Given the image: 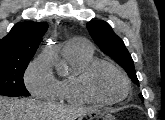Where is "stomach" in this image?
<instances>
[{
  "instance_id": "1",
  "label": "stomach",
  "mask_w": 165,
  "mask_h": 120,
  "mask_svg": "<svg viewBox=\"0 0 165 120\" xmlns=\"http://www.w3.org/2000/svg\"><path fill=\"white\" fill-rule=\"evenodd\" d=\"M85 117H89L90 120L93 118L101 119V120H116L115 117L109 113L95 110V111H89L86 114H84ZM82 120V117L79 119Z\"/></svg>"
}]
</instances>
